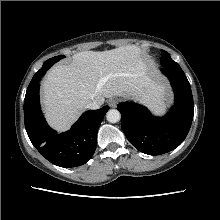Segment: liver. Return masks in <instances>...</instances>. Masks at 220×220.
<instances>
[{
    "label": "liver",
    "mask_w": 220,
    "mask_h": 220,
    "mask_svg": "<svg viewBox=\"0 0 220 220\" xmlns=\"http://www.w3.org/2000/svg\"><path fill=\"white\" fill-rule=\"evenodd\" d=\"M150 84L148 66L134 45L95 52L83 51L72 57L70 65H57L42 83V102L49 124L65 131L93 101L130 96ZM164 87H155V95Z\"/></svg>",
    "instance_id": "obj_1"
}]
</instances>
